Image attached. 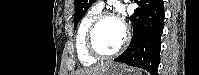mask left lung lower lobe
Masks as SVG:
<instances>
[{
    "label": "left lung lower lobe",
    "mask_w": 199,
    "mask_h": 75,
    "mask_svg": "<svg viewBox=\"0 0 199 75\" xmlns=\"http://www.w3.org/2000/svg\"><path fill=\"white\" fill-rule=\"evenodd\" d=\"M136 3L139 8L130 17L133 25L132 40L115 61L143 68L151 75H158L164 3L163 0H141Z\"/></svg>",
    "instance_id": "left-lung-lower-lobe-1"
}]
</instances>
